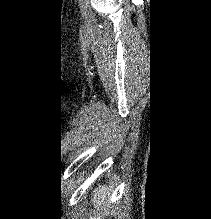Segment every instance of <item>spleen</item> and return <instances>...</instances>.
<instances>
[{
  "label": "spleen",
  "instance_id": "obj_1",
  "mask_svg": "<svg viewBox=\"0 0 211 219\" xmlns=\"http://www.w3.org/2000/svg\"><path fill=\"white\" fill-rule=\"evenodd\" d=\"M110 189L104 186H99L96 190H94V195L92 198V203L97 210H100L102 205H105V202L111 196Z\"/></svg>",
  "mask_w": 211,
  "mask_h": 219
}]
</instances>
